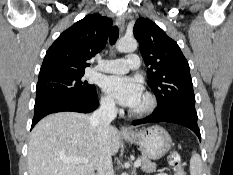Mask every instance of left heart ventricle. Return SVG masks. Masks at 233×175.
I'll return each instance as SVG.
<instances>
[{
  "mask_svg": "<svg viewBox=\"0 0 233 175\" xmlns=\"http://www.w3.org/2000/svg\"><path fill=\"white\" fill-rule=\"evenodd\" d=\"M141 104H142V101L140 102V104L137 107H139ZM137 107H135V108H137Z\"/></svg>",
  "mask_w": 233,
  "mask_h": 175,
  "instance_id": "b2bd125f",
  "label": "left heart ventricle"
}]
</instances>
